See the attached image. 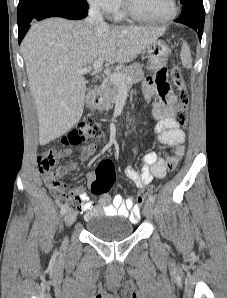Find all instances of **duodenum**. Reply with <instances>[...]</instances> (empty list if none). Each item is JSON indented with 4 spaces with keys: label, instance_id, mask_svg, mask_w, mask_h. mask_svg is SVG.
Instances as JSON below:
<instances>
[{
    "label": "duodenum",
    "instance_id": "410a0bca",
    "mask_svg": "<svg viewBox=\"0 0 227 298\" xmlns=\"http://www.w3.org/2000/svg\"><path fill=\"white\" fill-rule=\"evenodd\" d=\"M101 102V95L98 89L90 91L87 97V104L90 108H96Z\"/></svg>",
    "mask_w": 227,
    "mask_h": 298
}]
</instances>
